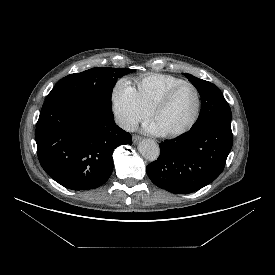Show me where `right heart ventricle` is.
Listing matches in <instances>:
<instances>
[{"label": "right heart ventricle", "instance_id": "obj_1", "mask_svg": "<svg viewBox=\"0 0 275 275\" xmlns=\"http://www.w3.org/2000/svg\"><path fill=\"white\" fill-rule=\"evenodd\" d=\"M181 81L183 80L167 74H149L136 81V91L142 104L151 111L162 95Z\"/></svg>", "mask_w": 275, "mask_h": 275}]
</instances>
